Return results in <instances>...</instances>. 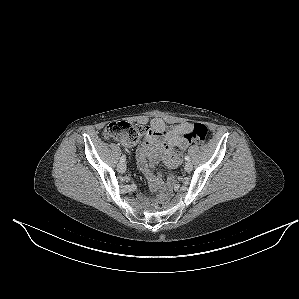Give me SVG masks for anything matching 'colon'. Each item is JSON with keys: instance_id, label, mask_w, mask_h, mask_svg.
Masks as SVG:
<instances>
[{"instance_id": "colon-1", "label": "colon", "mask_w": 299, "mask_h": 299, "mask_svg": "<svg viewBox=\"0 0 299 299\" xmlns=\"http://www.w3.org/2000/svg\"><path fill=\"white\" fill-rule=\"evenodd\" d=\"M148 133V127L132 122L116 121L110 123L104 130V137L108 139H125L130 142L138 141L142 136ZM208 133V128L203 123H195L192 129L186 134V139L195 144L204 142ZM168 198L166 189L160 191L157 195L159 203Z\"/></svg>"}]
</instances>
